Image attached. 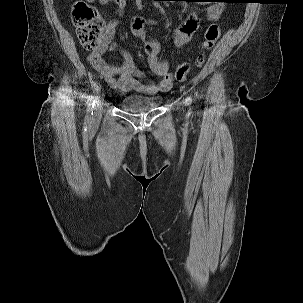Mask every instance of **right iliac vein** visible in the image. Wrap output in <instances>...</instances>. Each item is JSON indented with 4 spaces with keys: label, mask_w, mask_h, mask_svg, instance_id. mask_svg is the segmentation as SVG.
<instances>
[{
    "label": "right iliac vein",
    "mask_w": 303,
    "mask_h": 303,
    "mask_svg": "<svg viewBox=\"0 0 303 303\" xmlns=\"http://www.w3.org/2000/svg\"><path fill=\"white\" fill-rule=\"evenodd\" d=\"M102 109H103V97L98 96L95 101L94 114H93V120L95 122L100 120L101 115H102Z\"/></svg>",
    "instance_id": "right-iliac-vein-1"
}]
</instances>
